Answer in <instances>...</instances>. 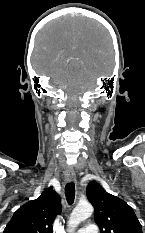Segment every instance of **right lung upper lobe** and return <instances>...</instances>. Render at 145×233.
<instances>
[{"label":"right lung upper lobe","mask_w":145,"mask_h":233,"mask_svg":"<svg viewBox=\"0 0 145 233\" xmlns=\"http://www.w3.org/2000/svg\"><path fill=\"white\" fill-rule=\"evenodd\" d=\"M60 212V197L47 188L39 198L25 203L14 213L3 233H53L52 224Z\"/></svg>","instance_id":"right-lung-upper-lobe-1"}]
</instances>
